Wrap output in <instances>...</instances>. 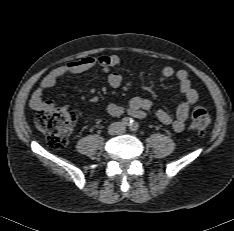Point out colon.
I'll use <instances>...</instances> for the list:
<instances>
[{
    "instance_id": "colon-1",
    "label": "colon",
    "mask_w": 234,
    "mask_h": 231,
    "mask_svg": "<svg viewBox=\"0 0 234 231\" xmlns=\"http://www.w3.org/2000/svg\"><path fill=\"white\" fill-rule=\"evenodd\" d=\"M75 120V112L70 108L41 110L35 116V125L42 131L49 145L55 149L68 146L70 130ZM211 123V116L204 107H196L191 113L192 128L204 131Z\"/></svg>"
}]
</instances>
